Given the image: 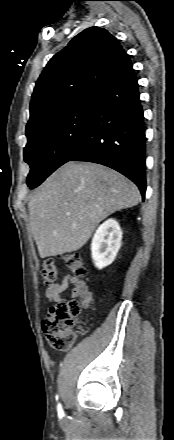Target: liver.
Here are the masks:
<instances>
[{
    "label": "liver",
    "instance_id": "obj_1",
    "mask_svg": "<svg viewBox=\"0 0 174 440\" xmlns=\"http://www.w3.org/2000/svg\"><path fill=\"white\" fill-rule=\"evenodd\" d=\"M140 199L136 185L113 169L95 163L64 164L28 203L40 257L79 250L103 219Z\"/></svg>",
    "mask_w": 174,
    "mask_h": 440
}]
</instances>
